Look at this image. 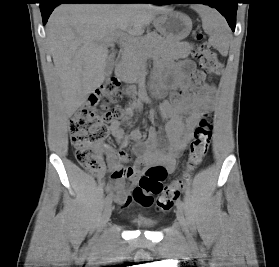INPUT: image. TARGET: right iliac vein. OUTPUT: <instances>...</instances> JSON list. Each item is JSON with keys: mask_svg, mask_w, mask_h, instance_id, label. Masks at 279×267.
<instances>
[{"mask_svg": "<svg viewBox=\"0 0 279 267\" xmlns=\"http://www.w3.org/2000/svg\"><path fill=\"white\" fill-rule=\"evenodd\" d=\"M111 214H112V206L111 204H108L106 205L105 210L103 212L98 231H100L101 228L105 226V224L109 221Z\"/></svg>", "mask_w": 279, "mask_h": 267, "instance_id": "63e3f726", "label": "right iliac vein"}]
</instances>
